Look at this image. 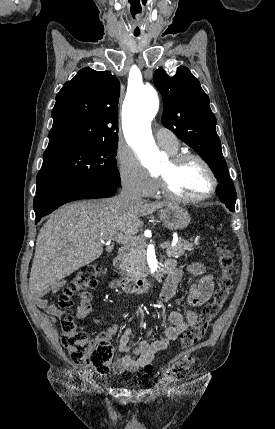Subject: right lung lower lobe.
Listing matches in <instances>:
<instances>
[{
	"label": "right lung lower lobe",
	"mask_w": 275,
	"mask_h": 429,
	"mask_svg": "<svg viewBox=\"0 0 275 429\" xmlns=\"http://www.w3.org/2000/svg\"><path fill=\"white\" fill-rule=\"evenodd\" d=\"M116 191L117 186L92 180L72 181L54 186L35 195L33 208L36 222L67 202L111 197Z\"/></svg>",
	"instance_id": "right-lung-lower-lobe-1"
}]
</instances>
